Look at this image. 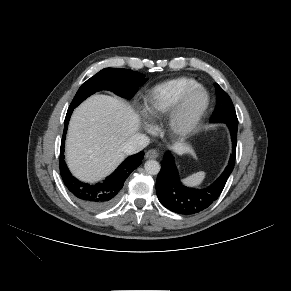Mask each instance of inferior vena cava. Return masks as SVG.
Returning a JSON list of instances; mask_svg holds the SVG:
<instances>
[{
    "instance_id": "1",
    "label": "inferior vena cava",
    "mask_w": 291,
    "mask_h": 291,
    "mask_svg": "<svg viewBox=\"0 0 291 291\" xmlns=\"http://www.w3.org/2000/svg\"><path fill=\"white\" fill-rule=\"evenodd\" d=\"M149 142L150 139L145 134L136 133L122 145V150L128 155L135 154L144 149Z\"/></svg>"
}]
</instances>
